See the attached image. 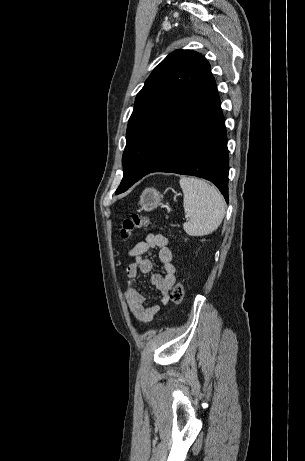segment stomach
Masks as SVG:
<instances>
[{
    "mask_svg": "<svg viewBox=\"0 0 305 461\" xmlns=\"http://www.w3.org/2000/svg\"><path fill=\"white\" fill-rule=\"evenodd\" d=\"M163 196L154 188H147L140 196L139 204L145 211H152L161 204Z\"/></svg>",
    "mask_w": 305,
    "mask_h": 461,
    "instance_id": "0dacf381",
    "label": "stomach"
}]
</instances>
